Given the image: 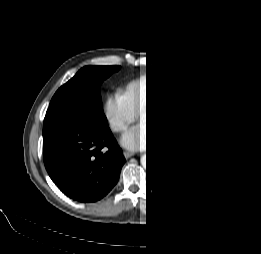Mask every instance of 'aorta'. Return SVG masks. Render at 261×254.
Wrapping results in <instances>:
<instances>
[{
  "instance_id": "obj_1",
  "label": "aorta",
  "mask_w": 261,
  "mask_h": 254,
  "mask_svg": "<svg viewBox=\"0 0 261 254\" xmlns=\"http://www.w3.org/2000/svg\"><path fill=\"white\" fill-rule=\"evenodd\" d=\"M149 157L146 155V154H144V155H142V157H141V164L143 165V167H150V163H149Z\"/></svg>"
}]
</instances>
